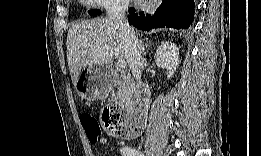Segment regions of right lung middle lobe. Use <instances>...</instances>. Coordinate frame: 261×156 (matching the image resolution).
Returning a JSON list of instances; mask_svg holds the SVG:
<instances>
[{
  "mask_svg": "<svg viewBox=\"0 0 261 156\" xmlns=\"http://www.w3.org/2000/svg\"><path fill=\"white\" fill-rule=\"evenodd\" d=\"M88 13H89L90 15L94 16V15H98V14H100V11L94 9V10H90V11H88Z\"/></svg>",
  "mask_w": 261,
  "mask_h": 156,
  "instance_id": "obj_1",
  "label": "right lung middle lobe"
}]
</instances>
